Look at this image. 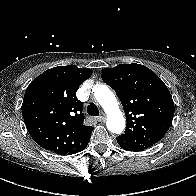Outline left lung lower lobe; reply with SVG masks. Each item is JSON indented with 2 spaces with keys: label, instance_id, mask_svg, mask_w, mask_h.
Returning <instances> with one entry per match:
<instances>
[{
  "label": "left lung lower lobe",
  "instance_id": "1",
  "mask_svg": "<svg viewBox=\"0 0 196 196\" xmlns=\"http://www.w3.org/2000/svg\"><path fill=\"white\" fill-rule=\"evenodd\" d=\"M118 144L127 151H135L134 148L130 147L128 144L124 143V142H118Z\"/></svg>",
  "mask_w": 196,
  "mask_h": 196
}]
</instances>
